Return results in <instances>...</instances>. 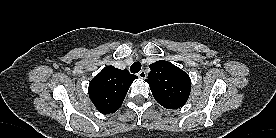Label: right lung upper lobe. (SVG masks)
I'll return each mask as SVG.
<instances>
[{
	"label": "right lung upper lobe",
	"mask_w": 276,
	"mask_h": 138,
	"mask_svg": "<svg viewBox=\"0 0 276 138\" xmlns=\"http://www.w3.org/2000/svg\"><path fill=\"white\" fill-rule=\"evenodd\" d=\"M137 76L128 70L106 66L89 83L88 93L95 107L103 114L114 113L121 106Z\"/></svg>",
	"instance_id": "right-lung-upper-lobe-1"
}]
</instances>
